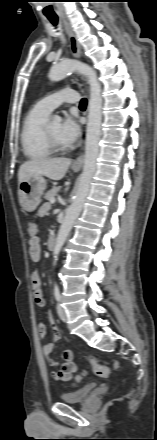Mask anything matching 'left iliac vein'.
<instances>
[{
  "mask_svg": "<svg viewBox=\"0 0 157 440\" xmlns=\"http://www.w3.org/2000/svg\"><path fill=\"white\" fill-rule=\"evenodd\" d=\"M57 313L63 322L67 321L66 312L60 303L57 304Z\"/></svg>",
  "mask_w": 157,
  "mask_h": 440,
  "instance_id": "left-iliac-vein-1",
  "label": "left iliac vein"
}]
</instances>
